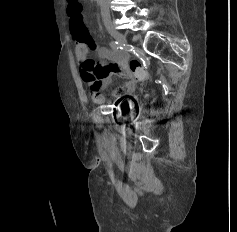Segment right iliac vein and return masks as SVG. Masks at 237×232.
I'll return each mask as SVG.
<instances>
[{"instance_id":"obj_1","label":"right iliac vein","mask_w":237,"mask_h":232,"mask_svg":"<svg viewBox=\"0 0 237 232\" xmlns=\"http://www.w3.org/2000/svg\"><path fill=\"white\" fill-rule=\"evenodd\" d=\"M107 31L121 45L128 46V43H127V40H126L125 36L122 33H120L118 30H116L114 27L107 26Z\"/></svg>"}]
</instances>
